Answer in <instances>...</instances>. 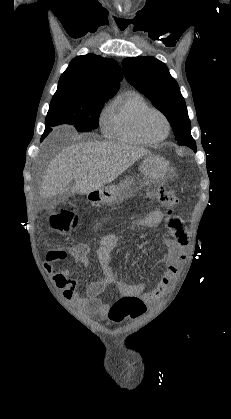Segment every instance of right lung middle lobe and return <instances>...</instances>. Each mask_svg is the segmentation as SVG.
Wrapping results in <instances>:
<instances>
[{
  "instance_id": "obj_1",
  "label": "right lung middle lobe",
  "mask_w": 231,
  "mask_h": 419,
  "mask_svg": "<svg viewBox=\"0 0 231 419\" xmlns=\"http://www.w3.org/2000/svg\"><path fill=\"white\" fill-rule=\"evenodd\" d=\"M108 98H75L66 94H54L46 117V128L41 141L60 124H71L77 131H91L98 127L101 109Z\"/></svg>"
}]
</instances>
